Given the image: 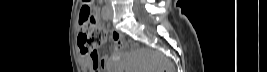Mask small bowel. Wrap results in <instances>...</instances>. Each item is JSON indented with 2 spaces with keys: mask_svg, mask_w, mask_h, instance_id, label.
<instances>
[{
  "mask_svg": "<svg viewBox=\"0 0 267 72\" xmlns=\"http://www.w3.org/2000/svg\"><path fill=\"white\" fill-rule=\"evenodd\" d=\"M96 10L98 12V8H96ZM112 39L115 44V49L119 50L121 47V37L118 34L113 33ZM81 60L92 72L108 71V59L106 57L100 58L97 50L92 54L83 55Z\"/></svg>",
  "mask_w": 267,
  "mask_h": 72,
  "instance_id": "obj_1",
  "label": "small bowel"
}]
</instances>
